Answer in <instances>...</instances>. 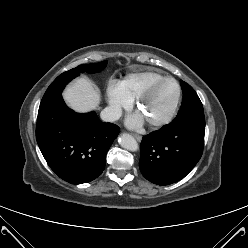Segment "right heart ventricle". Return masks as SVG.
<instances>
[{
    "label": "right heart ventricle",
    "instance_id": "1",
    "mask_svg": "<svg viewBox=\"0 0 248 248\" xmlns=\"http://www.w3.org/2000/svg\"><path fill=\"white\" fill-rule=\"evenodd\" d=\"M165 78L156 71H143L128 74L121 82V87L125 95L131 99H136L144 92L152 83Z\"/></svg>",
    "mask_w": 248,
    "mask_h": 248
}]
</instances>
